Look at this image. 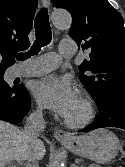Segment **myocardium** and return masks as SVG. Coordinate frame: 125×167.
Instances as JSON below:
<instances>
[{"label":"myocardium","mask_w":125,"mask_h":167,"mask_svg":"<svg viewBox=\"0 0 125 167\" xmlns=\"http://www.w3.org/2000/svg\"><path fill=\"white\" fill-rule=\"evenodd\" d=\"M79 98L85 109L83 117L77 120L66 117L64 120L65 124L73 129H79L87 126L95 115V106L91 97L87 93L81 92Z\"/></svg>","instance_id":"myocardium-1"}]
</instances>
